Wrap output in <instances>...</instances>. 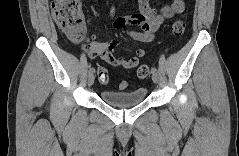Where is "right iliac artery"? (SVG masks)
I'll return each instance as SVG.
<instances>
[{
    "mask_svg": "<svg viewBox=\"0 0 239 156\" xmlns=\"http://www.w3.org/2000/svg\"><path fill=\"white\" fill-rule=\"evenodd\" d=\"M94 71H95V69H94L93 67H90V68H89V74L94 73Z\"/></svg>",
    "mask_w": 239,
    "mask_h": 156,
    "instance_id": "1",
    "label": "right iliac artery"
}]
</instances>
